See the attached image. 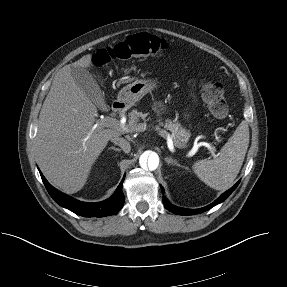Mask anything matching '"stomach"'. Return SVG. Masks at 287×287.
Listing matches in <instances>:
<instances>
[{
  "instance_id": "stomach-1",
  "label": "stomach",
  "mask_w": 287,
  "mask_h": 287,
  "mask_svg": "<svg viewBox=\"0 0 287 287\" xmlns=\"http://www.w3.org/2000/svg\"><path fill=\"white\" fill-rule=\"evenodd\" d=\"M155 87L156 82L152 79L136 80L120 90L118 99L125 105L132 106L136 101L140 100Z\"/></svg>"
}]
</instances>
